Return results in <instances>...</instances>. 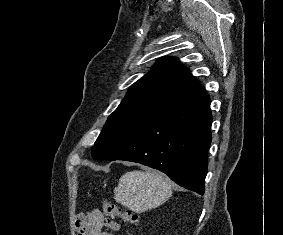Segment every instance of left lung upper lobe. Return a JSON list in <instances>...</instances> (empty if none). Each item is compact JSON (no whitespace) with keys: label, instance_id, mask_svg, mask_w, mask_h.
<instances>
[{"label":"left lung upper lobe","instance_id":"left-lung-upper-lobe-1","mask_svg":"<svg viewBox=\"0 0 283 235\" xmlns=\"http://www.w3.org/2000/svg\"><path fill=\"white\" fill-rule=\"evenodd\" d=\"M200 84L173 57L157 61L151 72L134 83L92 147L94 159L104 160L158 115L180 102Z\"/></svg>","mask_w":283,"mask_h":235}]
</instances>
